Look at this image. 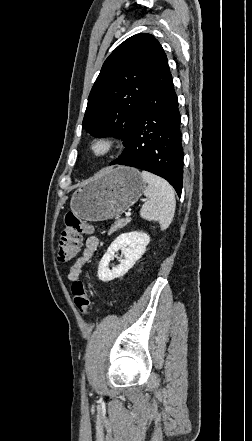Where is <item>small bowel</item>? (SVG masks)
I'll use <instances>...</instances> for the list:
<instances>
[{
  "instance_id": "1",
  "label": "small bowel",
  "mask_w": 252,
  "mask_h": 441,
  "mask_svg": "<svg viewBox=\"0 0 252 441\" xmlns=\"http://www.w3.org/2000/svg\"><path fill=\"white\" fill-rule=\"evenodd\" d=\"M99 245V240L96 236H90L85 241L84 247L80 254L75 259L73 265L70 268L68 278L70 280H76L83 268L90 262L93 253L96 251ZM91 285H89V288Z\"/></svg>"
}]
</instances>
